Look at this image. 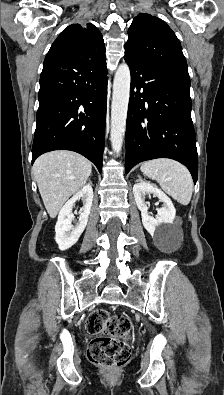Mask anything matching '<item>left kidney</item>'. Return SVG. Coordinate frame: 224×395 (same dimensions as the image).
I'll return each mask as SVG.
<instances>
[{"label":"left kidney","mask_w":224,"mask_h":395,"mask_svg":"<svg viewBox=\"0 0 224 395\" xmlns=\"http://www.w3.org/2000/svg\"><path fill=\"white\" fill-rule=\"evenodd\" d=\"M133 186V194L138 209L141 211L142 224L152 237L164 239L168 236V227L175 219L176 210L171 199L160 189L149 182L138 180ZM147 194H153L163 202V207L157 210L154 218L148 214V207L145 202Z\"/></svg>","instance_id":"left-kidney-1"}]
</instances>
